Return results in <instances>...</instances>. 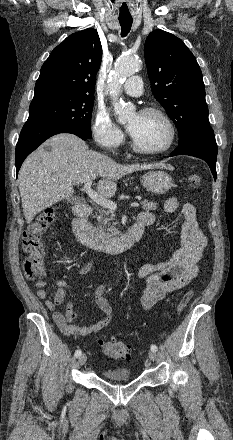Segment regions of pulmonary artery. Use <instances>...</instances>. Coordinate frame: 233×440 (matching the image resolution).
I'll return each instance as SVG.
<instances>
[{"label":"pulmonary artery","instance_id":"1","mask_svg":"<svg viewBox=\"0 0 233 440\" xmlns=\"http://www.w3.org/2000/svg\"><path fill=\"white\" fill-rule=\"evenodd\" d=\"M123 91L131 96H140L143 92L140 76L130 77L123 85Z\"/></svg>","mask_w":233,"mask_h":440}]
</instances>
